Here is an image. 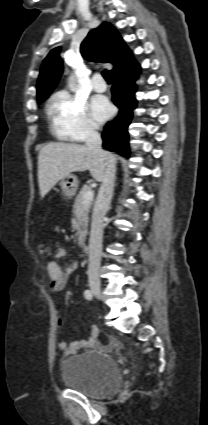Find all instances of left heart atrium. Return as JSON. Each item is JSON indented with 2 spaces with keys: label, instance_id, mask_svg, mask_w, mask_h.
I'll list each match as a JSON object with an SVG mask.
<instances>
[{
  "label": "left heart atrium",
  "instance_id": "1",
  "mask_svg": "<svg viewBox=\"0 0 208 425\" xmlns=\"http://www.w3.org/2000/svg\"><path fill=\"white\" fill-rule=\"evenodd\" d=\"M91 113L97 122H103L113 114V107L104 97H95L91 103Z\"/></svg>",
  "mask_w": 208,
  "mask_h": 425
}]
</instances>
